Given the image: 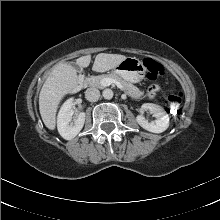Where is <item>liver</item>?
<instances>
[{
	"instance_id": "obj_1",
	"label": "liver",
	"mask_w": 220,
	"mask_h": 220,
	"mask_svg": "<svg viewBox=\"0 0 220 220\" xmlns=\"http://www.w3.org/2000/svg\"><path fill=\"white\" fill-rule=\"evenodd\" d=\"M126 56L119 54L100 53L96 56L92 70L106 72L114 69ZM91 62V56L86 55L76 59L75 64L86 68ZM78 84L77 70L69 63L55 65L44 82L39 94V110L45 126L54 130L56 112L62 98L74 91Z\"/></svg>"
}]
</instances>
